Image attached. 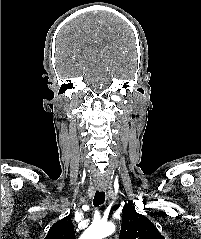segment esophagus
Wrapping results in <instances>:
<instances>
[{"label":"esophagus","mask_w":201,"mask_h":239,"mask_svg":"<svg viewBox=\"0 0 201 239\" xmlns=\"http://www.w3.org/2000/svg\"><path fill=\"white\" fill-rule=\"evenodd\" d=\"M98 189H99L100 191H104V190H106V187H105V186H98Z\"/></svg>","instance_id":"1"}]
</instances>
